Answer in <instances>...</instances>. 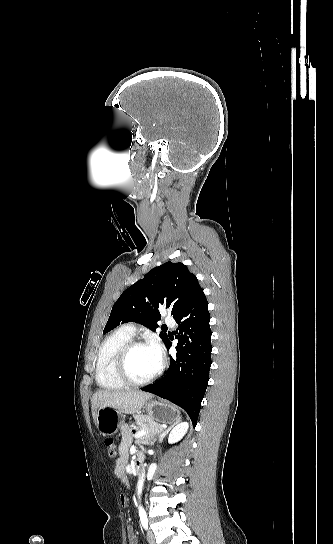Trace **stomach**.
I'll return each mask as SVG.
<instances>
[{
    "label": "stomach",
    "mask_w": 333,
    "mask_h": 544,
    "mask_svg": "<svg viewBox=\"0 0 333 544\" xmlns=\"http://www.w3.org/2000/svg\"><path fill=\"white\" fill-rule=\"evenodd\" d=\"M145 408L152 419L161 423H171L180 419L178 409L166 402L149 401ZM96 425L102 435L112 436L123 425V417L117 410L100 407L97 410Z\"/></svg>",
    "instance_id": "0dacf381"
}]
</instances>
